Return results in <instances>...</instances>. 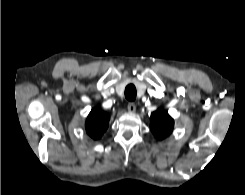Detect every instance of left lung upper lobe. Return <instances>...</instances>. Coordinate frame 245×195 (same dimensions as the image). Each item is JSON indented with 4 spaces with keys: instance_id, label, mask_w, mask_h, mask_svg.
Returning a JSON list of instances; mask_svg holds the SVG:
<instances>
[{
    "instance_id": "obj_1",
    "label": "left lung upper lobe",
    "mask_w": 245,
    "mask_h": 195,
    "mask_svg": "<svg viewBox=\"0 0 245 195\" xmlns=\"http://www.w3.org/2000/svg\"><path fill=\"white\" fill-rule=\"evenodd\" d=\"M173 127L174 120L165 110L158 109L151 114L150 129L158 140H162L169 136Z\"/></svg>"
}]
</instances>
